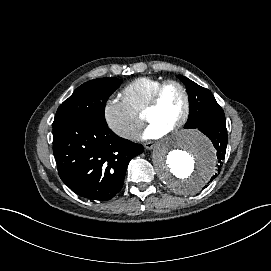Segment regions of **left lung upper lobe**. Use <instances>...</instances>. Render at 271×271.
Here are the masks:
<instances>
[{"instance_id": "1", "label": "left lung upper lobe", "mask_w": 271, "mask_h": 271, "mask_svg": "<svg viewBox=\"0 0 271 271\" xmlns=\"http://www.w3.org/2000/svg\"><path fill=\"white\" fill-rule=\"evenodd\" d=\"M178 78L186 85L189 93L190 113L185 128H198L201 121L210 112L215 109H220L221 107L210 90L199 86L185 76L178 75Z\"/></svg>"}]
</instances>
